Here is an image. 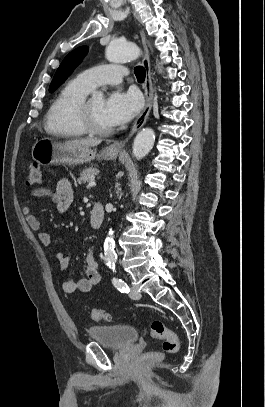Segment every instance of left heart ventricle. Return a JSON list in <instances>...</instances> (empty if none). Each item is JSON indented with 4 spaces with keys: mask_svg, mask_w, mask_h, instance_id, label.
Listing matches in <instances>:
<instances>
[{
    "mask_svg": "<svg viewBox=\"0 0 265 407\" xmlns=\"http://www.w3.org/2000/svg\"><path fill=\"white\" fill-rule=\"evenodd\" d=\"M90 109L95 124L102 129L112 128L104 114V100L101 98L90 99Z\"/></svg>",
    "mask_w": 265,
    "mask_h": 407,
    "instance_id": "obj_1",
    "label": "left heart ventricle"
}]
</instances>
